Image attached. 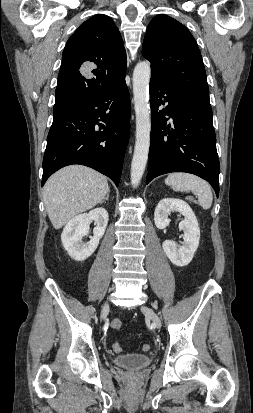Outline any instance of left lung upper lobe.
<instances>
[{
    "label": "left lung upper lobe",
    "mask_w": 253,
    "mask_h": 413,
    "mask_svg": "<svg viewBox=\"0 0 253 413\" xmlns=\"http://www.w3.org/2000/svg\"><path fill=\"white\" fill-rule=\"evenodd\" d=\"M142 54L151 62L152 76L211 109L201 53L184 25L167 15L154 17L146 31Z\"/></svg>",
    "instance_id": "left-lung-upper-lobe-1"
}]
</instances>
